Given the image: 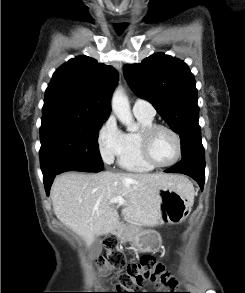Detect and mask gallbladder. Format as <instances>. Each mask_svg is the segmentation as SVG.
Returning a JSON list of instances; mask_svg holds the SVG:
<instances>
[{"label":"gallbladder","instance_id":"gallbladder-1","mask_svg":"<svg viewBox=\"0 0 245 293\" xmlns=\"http://www.w3.org/2000/svg\"><path fill=\"white\" fill-rule=\"evenodd\" d=\"M102 251V240L99 236H96L89 247V257L91 259L97 258Z\"/></svg>","mask_w":245,"mask_h":293}]
</instances>
